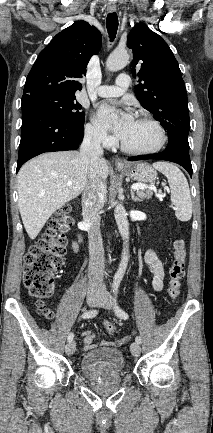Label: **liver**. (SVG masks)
Returning a JSON list of instances; mask_svg holds the SVG:
<instances>
[{
    "mask_svg": "<svg viewBox=\"0 0 213 433\" xmlns=\"http://www.w3.org/2000/svg\"><path fill=\"white\" fill-rule=\"evenodd\" d=\"M89 161L77 151L42 154L18 173V208L30 239H35L50 216L84 191ZM109 167L100 159L97 175L105 181ZM71 182V186L67 183Z\"/></svg>",
    "mask_w": 213,
    "mask_h": 433,
    "instance_id": "obj_1",
    "label": "liver"
}]
</instances>
